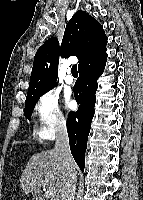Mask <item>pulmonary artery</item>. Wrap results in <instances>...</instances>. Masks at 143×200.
<instances>
[{
    "label": "pulmonary artery",
    "mask_w": 143,
    "mask_h": 200,
    "mask_svg": "<svg viewBox=\"0 0 143 200\" xmlns=\"http://www.w3.org/2000/svg\"><path fill=\"white\" fill-rule=\"evenodd\" d=\"M64 81L68 85H71V84L74 83V79H73V77H72V75L70 73V70H67V73H66V75L64 77Z\"/></svg>",
    "instance_id": "1"
}]
</instances>
